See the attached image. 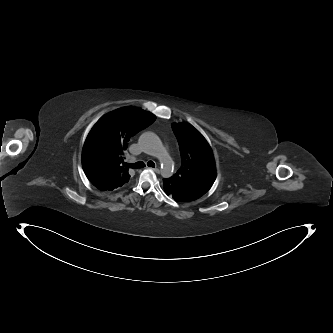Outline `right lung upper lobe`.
I'll return each mask as SVG.
<instances>
[{
  "instance_id": "cb5924a9",
  "label": "right lung upper lobe",
  "mask_w": 333,
  "mask_h": 333,
  "mask_svg": "<svg viewBox=\"0 0 333 333\" xmlns=\"http://www.w3.org/2000/svg\"><path fill=\"white\" fill-rule=\"evenodd\" d=\"M155 115L129 106L114 110L93 126L89 132L82 158L89 167L91 176L96 178V187L100 190L113 191L129 181L128 168L122 163L124 151L132 136L149 126Z\"/></svg>"
}]
</instances>
